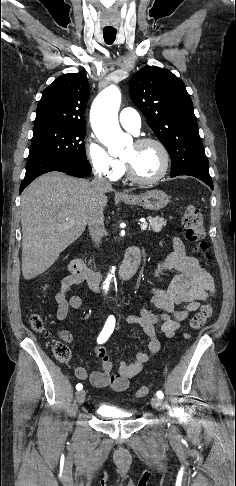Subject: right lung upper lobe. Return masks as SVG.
Instances as JSON below:
<instances>
[{
	"label": "right lung upper lobe",
	"instance_id": "obj_1",
	"mask_svg": "<svg viewBox=\"0 0 236 486\" xmlns=\"http://www.w3.org/2000/svg\"><path fill=\"white\" fill-rule=\"evenodd\" d=\"M89 93L90 85L84 73L61 75L44 89L34 127L85 128L84 111Z\"/></svg>",
	"mask_w": 236,
	"mask_h": 486
}]
</instances>
